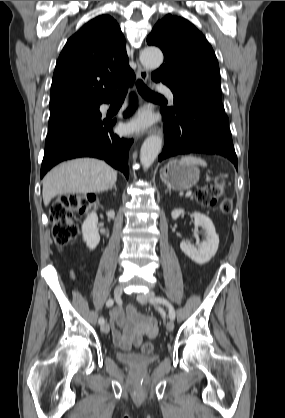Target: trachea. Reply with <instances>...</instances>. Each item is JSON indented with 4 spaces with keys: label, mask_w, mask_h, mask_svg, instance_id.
<instances>
[{
    "label": "trachea",
    "mask_w": 285,
    "mask_h": 418,
    "mask_svg": "<svg viewBox=\"0 0 285 418\" xmlns=\"http://www.w3.org/2000/svg\"><path fill=\"white\" fill-rule=\"evenodd\" d=\"M136 86H137L138 92L144 98H162L161 95L154 93L150 89H148L147 86L141 80H138L136 82ZM127 90L128 89L126 86H121L117 92L116 98H125L127 94Z\"/></svg>",
    "instance_id": "obj_1"
}]
</instances>
